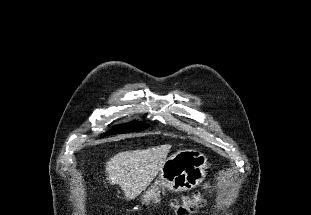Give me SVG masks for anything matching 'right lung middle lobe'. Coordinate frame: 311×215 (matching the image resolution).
Instances as JSON below:
<instances>
[{
  "label": "right lung middle lobe",
  "mask_w": 311,
  "mask_h": 215,
  "mask_svg": "<svg viewBox=\"0 0 311 215\" xmlns=\"http://www.w3.org/2000/svg\"><path fill=\"white\" fill-rule=\"evenodd\" d=\"M147 128V125L137 122H132L128 125H119L114 127L112 130L113 134H123V133H129V132H137L142 131Z\"/></svg>",
  "instance_id": "dd1d6c3e"
}]
</instances>
